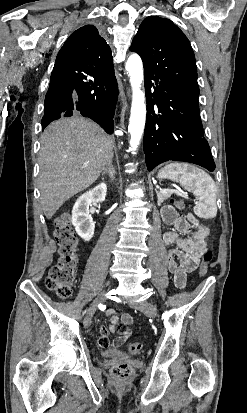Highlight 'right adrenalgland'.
Here are the masks:
<instances>
[{"label": "right adrenal gland", "instance_id": "obj_1", "mask_svg": "<svg viewBox=\"0 0 247 413\" xmlns=\"http://www.w3.org/2000/svg\"><path fill=\"white\" fill-rule=\"evenodd\" d=\"M101 174H108V176H110L111 182H112V180H114V178H115V168L112 164V160H109V162L107 164V168H104V170H102Z\"/></svg>", "mask_w": 247, "mask_h": 413}]
</instances>
